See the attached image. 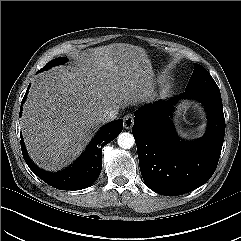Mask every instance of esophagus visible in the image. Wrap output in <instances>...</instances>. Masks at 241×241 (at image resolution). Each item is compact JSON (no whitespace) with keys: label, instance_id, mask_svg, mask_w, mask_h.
Instances as JSON below:
<instances>
[{"label":"esophagus","instance_id":"1","mask_svg":"<svg viewBox=\"0 0 241 241\" xmlns=\"http://www.w3.org/2000/svg\"><path fill=\"white\" fill-rule=\"evenodd\" d=\"M133 124H134V118H133V115L132 114H127L125 117H124V127L126 129H131L133 127Z\"/></svg>","mask_w":241,"mask_h":241}]
</instances>
